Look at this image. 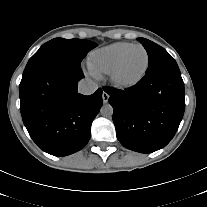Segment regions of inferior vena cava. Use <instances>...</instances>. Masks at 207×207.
<instances>
[{
  "mask_svg": "<svg viewBox=\"0 0 207 207\" xmlns=\"http://www.w3.org/2000/svg\"><path fill=\"white\" fill-rule=\"evenodd\" d=\"M98 89V84L91 78H84L78 83V92L83 95H91Z\"/></svg>",
  "mask_w": 207,
  "mask_h": 207,
  "instance_id": "inferior-vena-cava-1",
  "label": "inferior vena cava"
}]
</instances>
